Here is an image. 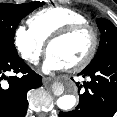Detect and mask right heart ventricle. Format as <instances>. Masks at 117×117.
Masks as SVG:
<instances>
[{
    "mask_svg": "<svg viewBox=\"0 0 117 117\" xmlns=\"http://www.w3.org/2000/svg\"><path fill=\"white\" fill-rule=\"evenodd\" d=\"M86 22L87 19L82 13L64 6L41 9L28 19L30 29L44 43L61 29L73 24Z\"/></svg>",
    "mask_w": 117,
    "mask_h": 117,
    "instance_id": "1",
    "label": "right heart ventricle"
}]
</instances>
